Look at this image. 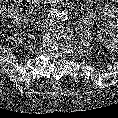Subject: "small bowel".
Segmentation results:
<instances>
[{
    "mask_svg": "<svg viewBox=\"0 0 118 118\" xmlns=\"http://www.w3.org/2000/svg\"><path fill=\"white\" fill-rule=\"evenodd\" d=\"M53 2V0H49ZM118 4L108 3L102 10V15L107 21V27L109 29L118 28Z\"/></svg>",
    "mask_w": 118,
    "mask_h": 118,
    "instance_id": "obj_1",
    "label": "small bowel"
}]
</instances>
